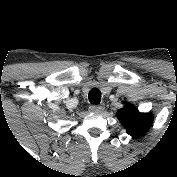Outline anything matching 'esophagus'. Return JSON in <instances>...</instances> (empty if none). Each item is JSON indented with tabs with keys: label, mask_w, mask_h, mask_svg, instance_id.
Wrapping results in <instances>:
<instances>
[{
	"label": "esophagus",
	"mask_w": 177,
	"mask_h": 177,
	"mask_svg": "<svg viewBox=\"0 0 177 177\" xmlns=\"http://www.w3.org/2000/svg\"><path fill=\"white\" fill-rule=\"evenodd\" d=\"M104 109V105L103 104H95L90 106L89 111L92 113H100L102 112Z\"/></svg>",
	"instance_id": "1"
}]
</instances>
